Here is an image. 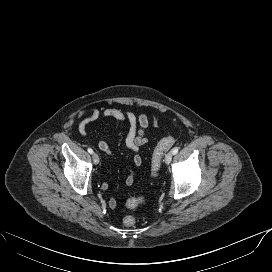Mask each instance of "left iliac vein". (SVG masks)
<instances>
[{
    "instance_id": "1",
    "label": "left iliac vein",
    "mask_w": 272,
    "mask_h": 272,
    "mask_svg": "<svg viewBox=\"0 0 272 272\" xmlns=\"http://www.w3.org/2000/svg\"><path fill=\"white\" fill-rule=\"evenodd\" d=\"M172 158H173L172 152L167 153V154L165 155V159H164L165 163H166V164H170L171 161H172Z\"/></svg>"
}]
</instances>
